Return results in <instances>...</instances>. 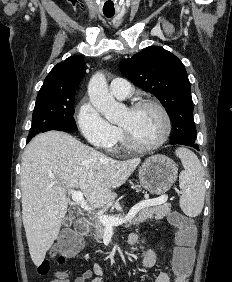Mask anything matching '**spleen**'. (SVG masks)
<instances>
[{
    "mask_svg": "<svg viewBox=\"0 0 232 282\" xmlns=\"http://www.w3.org/2000/svg\"><path fill=\"white\" fill-rule=\"evenodd\" d=\"M175 153L184 167L179 177V186L182 189L180 207L187 216L196 217L203 209L205 198L203 167L192 151L178 148Z\"/></svg>",
    "mask_w": 232,
    "mask_h": 282,
    "instance_id": "spleen-1",
    "label": "spleen"
}]
</instances>
